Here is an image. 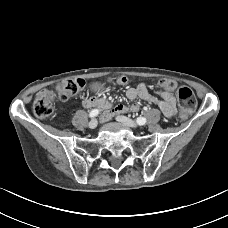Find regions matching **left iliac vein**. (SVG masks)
<instances>
[{"label": "left iliac vein", "instance_id": "obj_1", "mask_svg": "<svg viewBox=\"0 0 228 228\" xmlns=\"http://www.w3.org/2000/svg\"><path fill=\"white\" fill-rule=\"evenodd\" d=\"M116 120L121 122L122 124L132 127V128H136L138 126L135 121H133L127 117H124V116H117Z\"/></svg>", "mask_w": 228, "mask_h": 228}]
</instances>
